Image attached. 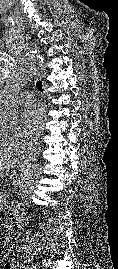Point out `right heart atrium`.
I'll return each instance as SVG.
<instances>
[{"label":"right heart atrium","instance_id":"right-heart-atrium-1","mask_svg":"<svg viewBox=\"0 0 118 269\" xmlns=\"http://www.w3.org/2000/svg\"><path fill=\"white\" fill-rule=\"evenodd\" d=\"M0 143L5 147L21 149L29 143L25 132L17 125L0 126Z\"/></svg>","mask_w":118,"mask_h":269}]
</instances>
